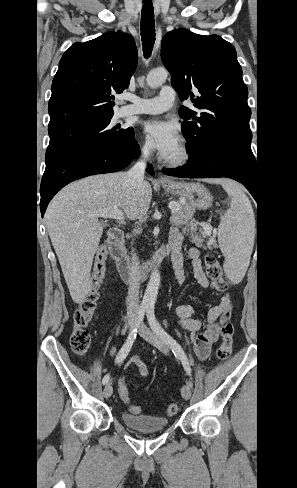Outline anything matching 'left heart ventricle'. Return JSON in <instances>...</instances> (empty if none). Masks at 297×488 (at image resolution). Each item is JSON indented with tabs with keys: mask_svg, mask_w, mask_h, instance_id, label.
<instances>
[{
	"mask_svg": "<svg viewBox=\"0 0 297 488\" xmlns=\"http://www.w3.org/2000/svg\"><path fill=\"white\" fill-rule=\"evenodd\" d=\"M180 153V143L175 147V149L171 152V154L167 158H175Z\"/></svg>",
	"mask_w": 297,
	"mask_h": 488,
	"instance_id": "b2bd125f",
	"label": "left heart ventricle"
}]
</instances>
